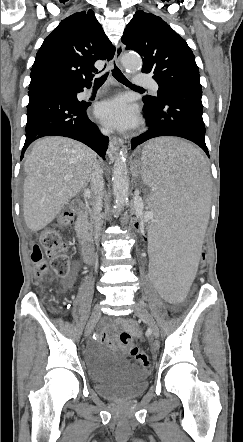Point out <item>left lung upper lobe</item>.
Here are the masks:
<instances>
[{
    "mask_svg": "<svg viewBox=\"0 0 243 442\" xmlns=\"http://www.w3.org/2000/svg\"><path fill=\"white\" fill-rule=\"evenodd\" d=\"M122 42L143 60L142 72L153 73L158 97L145 96L144 104L156 105L162 90L177 82L200 84L199 68L186 41L166 22L152 13L137 11L126 26Z\"/></svg>",
    "mask_w": 243,
    "mask_h": 442,
    "instance_id": "left-lung-upper-lobe-1",
    "label": "left lung upper lobe"
}]
</instances>
